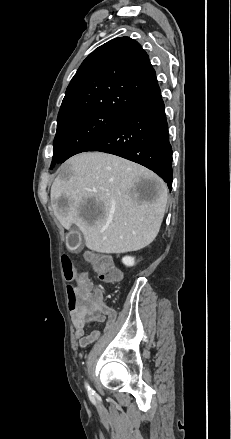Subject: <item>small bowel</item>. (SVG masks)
I'll return each instance as SVG.
<instances>
[{
	"instance_id": "obj_1",
	"label": "small bowel",
	"mask_w": 231,
	"mask_h": 439,
	"mask_svg": "<svg viewBox=\"0 0 231 439\" xmlns=\"http://www.w3.org/2000/svg\"><path fill=\"white\" fill-rule=\"evenodd\" d=\"M91 291L92 286L89 284V280H87L86 283L74 286V292L79 293L83 297L81 300L82 306L79 308L78 312H70L80 348L86 347L95 341L101 334L100 330H93L87 333L86 330L90 325L96 322L105 321V328H109L114 324L117 316V313L113 308L104 304L102 292L99 289H96L97 297L94 301L91 300Z\"/></svg>"
}]
</instances>
